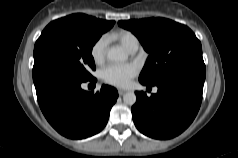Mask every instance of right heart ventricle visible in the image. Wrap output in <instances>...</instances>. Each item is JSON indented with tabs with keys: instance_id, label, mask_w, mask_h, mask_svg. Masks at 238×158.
Returning a JSON list of instances; mask_svg holds the SVG:
<instances>
[{
	"instance_id": "1",
	"label": "right heart ventricle",
	"mask_w": 238,
	"mask_h": 158,
	"mask_svg": "<svg viewBox=\"0 0 238 158\" xmlns=\"http://www.w3.org/2000/svg\"><path fill=\"white\" fill-rule=\"evenodd\" d=\"M114 37L127 49L130 50L133 46L139 45L137 37L130 31H120Z\"/></svg>"
}]
</instances>
